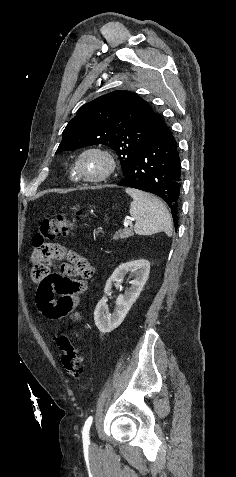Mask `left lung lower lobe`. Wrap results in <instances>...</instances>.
<instances>
[{"label": "left lung lower lobe", "mask_w": 236, "mask_h": 477, "mask_svg": "<svg viewBox=\"0 0 236 477\" xmlns=\"http://www.w3.org/2000/svg\"><path fill=\"white\" fill-rule=\"evenodd\" d=\"M117 185L161 197L170 207L177 228L181 165L176 140L163 120L150 140L133 157L124 179Z\"/></svg>", "instance_id": "obj_1"}]
</instances>
